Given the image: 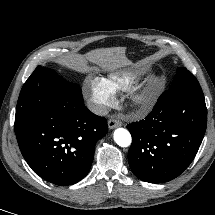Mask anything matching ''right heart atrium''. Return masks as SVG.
<instances>
[{
  "mask_svg": "<svg viewBox=\"0 0 215 215\" xmlns=\"http://www.w3.org/2000/svg\"><path fill=\"white\" fill-rule=\"evenodd\" d=\"M85 92L90 109L98 114H104L114 104V93L108 88L102 78L89 77L85 81Z\"/></svg>",
  "mask_w": 215,
  "mask_h": 215,
  "instance_id": "obj_1",
  "label": "right heart atrium"
}]
</instances>
